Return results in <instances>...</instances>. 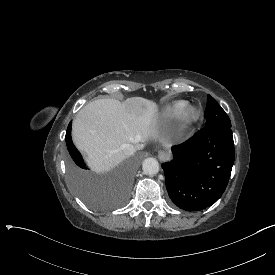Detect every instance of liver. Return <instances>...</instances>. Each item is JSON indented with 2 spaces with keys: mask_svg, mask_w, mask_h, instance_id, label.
<instances>
[{
  "mask_svg": "<svg viewBox=\"0 0 275 275\" xmlns=\"http://www.w3.org/2000/svg\"><path fill=\"white\" fill-rule=\"evenodd\" d=\"M157 105L142 97L120 102L98 99L84 106L72 124V138L86 161L96 173L108 172L118 166L126 155L124 144L142 149L154 133Z\"/></svg>",
  "mask_w": 275,
  "mask_h": 275,
  "instance_id": "6515ba94",
  "label": "liver"
}]
</instances>
